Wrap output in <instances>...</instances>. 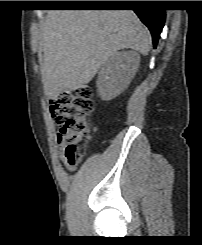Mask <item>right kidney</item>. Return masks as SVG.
I'll return each mask as SVG.
<instances>
[{
	"instance_id": "obj_1",
	"label": "right kidney",
	"mask_w": 202,
	"mask_h": 245,
	"mask_svg": "<svg viewBox=\"0 0 202 245\" xmlns=\"http://www.w3.org/2000/svg\"><path fill=\"white\" fill-rule=\"evenodd\" d=\"M140 63L134 51H122L111 56L102 66L96 82L102 100L118 96L130 84Z\"/></svg>"
}]
</instances>
